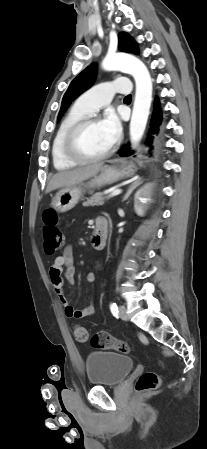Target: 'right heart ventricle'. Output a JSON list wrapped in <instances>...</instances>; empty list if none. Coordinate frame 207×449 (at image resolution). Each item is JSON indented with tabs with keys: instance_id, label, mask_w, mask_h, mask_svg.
I'll return each instance as SVG.
<instances>
[{
	"instance_id": "right-heart-ventricle-1",
	"label": "right heart ventricle",
	"mask_w": 207,
	"mask_h": 449,
	"mask_svg": "<svg viewBox=\"0 0 207 449\" xmlns=\"http://www.w3.org/2000/svg\"><path fill=\"white\" fill-rule=\"evenodd\" d=\"M89 114L74 105L61 121L52 141L51 156L53 166L57 170L70 169L76 162L69 160L63 153L62 144L67 130L78 120Z\"/></svg>"
}]
</instances>
